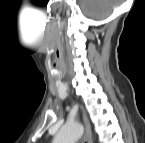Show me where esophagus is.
<instances>
[{"mask_svg":"<svg viewBox=\"0 0 145 143\" xmlns=\"http://www.w3.org/2000/svg\"><path fill=\"white\" fill-rule=\"evenodd\" d=\"M83 121H84V125H85L84 139H85L86 143H93L91 126H90V123H89L87 117L85 116L84 112H83Z\"/></svg>","mask_w":145,"mask_h":143,"instance_id":"1","label":"esophagus"}]
</instances>
